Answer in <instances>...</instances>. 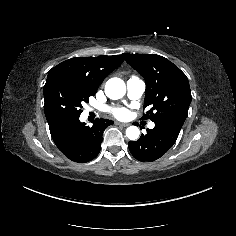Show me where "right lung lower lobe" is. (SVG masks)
I'll list each match as a JSON object with an SVG mask.
<instances>
[{
    "mask_svg": "<svg viewBox=\"0 0 236 236\" xmlns=\"http://www.w3.org/2000/svg\"><path fill=\"white\" fill-rule=\"evenodd\" d=\"M107 119H96L87 126L79 117L50 129L57 148L70 160L78 163L93 160L100 152L103 131L113 124Z\"/></svg>",
    "mask_w": 236,
    "mask_h": 236,
    "instance_id": "obj_1",
    "label": "right lung lower lobe"
}]
</instances>
